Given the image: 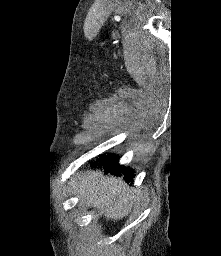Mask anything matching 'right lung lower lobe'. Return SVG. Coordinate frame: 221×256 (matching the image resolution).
Segmentation results:
<instances>
[{"label":"right lung lower lobe","instance_id":"1","mask_svg":"<svg viewBox=\"0 0 221 256\" xmlns=\"http://www.w3.org/2000/svg\"><path fill=\"white\" fill-rule=\"evenodd\" d=\"M118 159L119 157L116 155H104L103 157H100V159H97L96 162H92L91 166L103 167L105 172L123 176L126 181H131L134 171L128 167H122L119 165Z\"/></svg>","mask_w":221,"mask_h":256}]
</instances>
